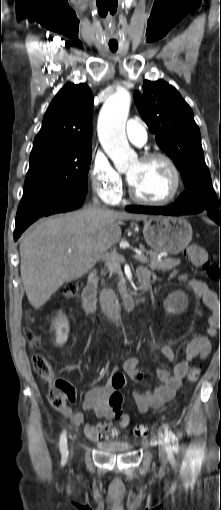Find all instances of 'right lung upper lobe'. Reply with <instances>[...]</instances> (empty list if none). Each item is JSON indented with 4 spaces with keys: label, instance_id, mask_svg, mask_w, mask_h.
Instances as JSON below:
<instances>
[{
    "label": "right lung upper lobe",
    "instance_id": "1",
    "mask_svg": "<svg viewBox=\"0 0 221 510\" xmlns=\"http://www.w3.org/2000/svg\"><path fill=\"white\" fill-rule=\"evenodd\" d=\"M92 118L90 88L83 83H67L49 105L30 157L91 145Z\"/></svg>",
    "mask_w": 221,
    "mask_h": 510
}]
</instances>
